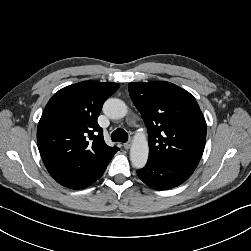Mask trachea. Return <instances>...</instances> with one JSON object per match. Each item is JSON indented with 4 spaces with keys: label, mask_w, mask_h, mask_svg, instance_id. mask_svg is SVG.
Instances as JSON below:
<instances>
[{
    "label": "trachea",
    "mask_w": 251,
    "mask_h": 251,
    "mask_svg": "<svg viewBox=\"0 0 251 251\" xmlns=\"http://www.w3.org/2000/svg\"><path fill=\"white\" fill-rule=\"evenodd\" d=\"M111 139L113 142L120 141L125 143L128 140V134L124 129L118 128L111 134Z\"/></svg>",
    "instance_id": "1"
}]
</instances>
